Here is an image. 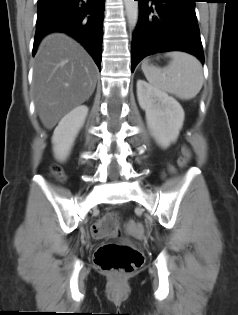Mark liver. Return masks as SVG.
I'll use <instances>...</instances> for the list:
<instances>
[{
    "instance_id": "6515ba94",
    "label": "liver",
    "mask_w": 238,
    "mask_h": 315,
    "mask_svg": "<svg viewBox=\"0 0 238 315\" xmlns=\"http://www.w3.org/2000/svg\"><path fill=\"white\" fill-rule=\"evenodd\" d=\"M97 67L87 51L63 33L47 35L35 56L33 91L41 122L52 129L93 94Z\"/></svg>"
}]
</instances>
